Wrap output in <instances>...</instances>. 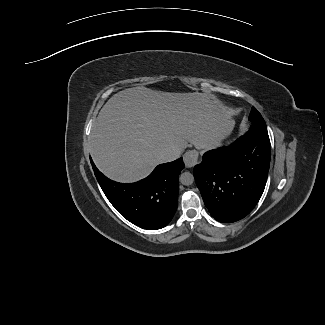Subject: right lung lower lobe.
<instances>
[{
  "instance_id": "98d812e1",
  "label": "right lung lower lobe",
  "mask_w": 325,
  "mask_h": 325,
  "mask_svg": "<svg viewBox=\"0 0 325 325\" xmlns=\"http://www.w3.org/2000/svg\"><path fill=\"white\" fill-rule=\"evenodd\" d=\"M90 160L104 194L124 218L151 230L171 221L178 206V177L185 167L182 158L158 165L148 177L132 184L108 179Z\"/></svg>"
}]
</instances>
